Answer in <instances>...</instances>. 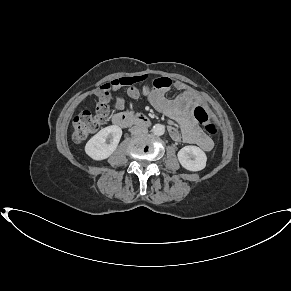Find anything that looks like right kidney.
<instances>
[{"mask_svg": "<svg viewBox=\"0 0 291 291\" xmlns=\"http://www.w3.org/2000/svg\"><path fill=\"white\" fill-rule=\"evenodd\" d=\"M121 136L120 127L116 125L105 127L86 143L85 152L96 161L107 159L116 150Z\"/></svg>", "mask_w": 291, "mask_h": 291, "instance_id": "ca27d5eb", "label": "right kidney"}]
</instances>
